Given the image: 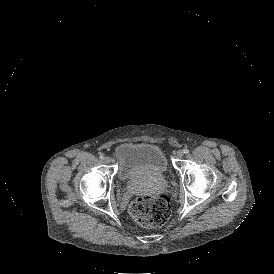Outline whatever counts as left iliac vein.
<instances>
[{"label":"left iliac vein","instance_id":"obj_1","mask_svg":"<svg viewBox=\"0 0 274 274\" xmlns=\"http://www.w3.org/2000/svg\"><path fill=\"white\" fill-rule=\"evenodd\" d=\"M183 155H184V150L179 149V150L177 151V155H176V157H177V158H182V157H183Z\"/></svg>","mask_w":274,"mask_h":274}]
</instances>
